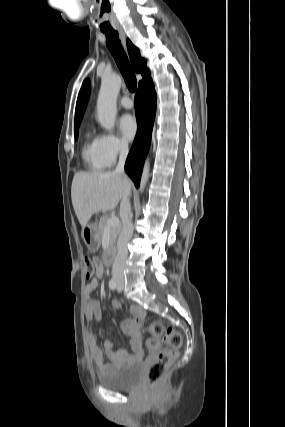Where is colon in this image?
Returning <instances> with one entry per match:
<instances>
[{
	"label": "colon",
	"mask_w": 285,
	"mask_h": 427,
	"mask_svg": "<svg viewBox=\"0 0 285 427\" xmlns=\"http://www.w3.org/2000/svg\"><path fill=\"white\" fill-rule=\"evenodd\" d=\"M84 269L87 279H92L96 272V263L90 258L84 259ZM149 337L146 340L147 350L155 355L153 363L147 372L148 384L153 386L163 377L169 364L176 356L182 345L181 333L173 328L167 327L160 321H153L148 327ZM164 344L159 348V343Z\"/></svg>",
	"instance_id": "5ec220e1"
}]
</instances>
